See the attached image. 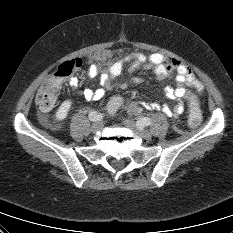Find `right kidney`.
<instances>
[{
    "label": "right kidney",
    "mask_w": 233,
    "mask_h": 233,
    "mask_svg": "<svg viewBox=\"0 0 233 233\" xmlns=\"http://www.w3.org/2000/svg\"><path fill=\"white\" fill-rule=\"evenodd\" d=\"M71 104V100H66L61 104V106L55 113V118L57 121H63L67 117Z\"/></svg>",
    "instance_id": "obj_1"
}]
</instances>
